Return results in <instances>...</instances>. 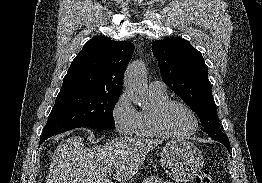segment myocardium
<instances>
[{
    "mask_svg": "<svg viewBox=\"0 0 262 183\" xmlns=\"http://www.w3.org/2000/svg\"><path fill=\"white\" fill-rule=\"evenodd\" d=\"M174 105H181L185 107L193 116L194 127L191 131L184 133V134H174L166 128V125H165L166 114L169 111V109ZM153 125H154L156 132L161 137L169 138V139H185V138L191 137L198 131L200 120H199V117L196 111L187 102L183 100H178V99H168L155 110L153 114Z\"/></svg>",
    "mask_w": 262,
    "mask_h": 183,
    "instance_id": "myocardium-1",
    "label": "myocardium"
}]
</instances>
